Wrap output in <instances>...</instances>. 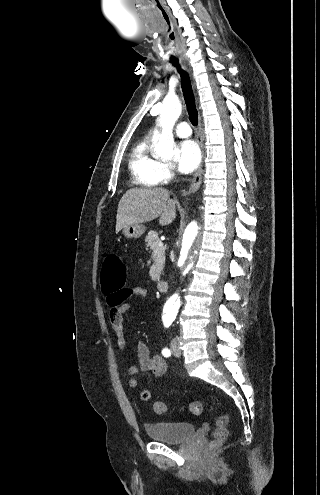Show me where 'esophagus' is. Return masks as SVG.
Listing matches in <instances>:
<instances>
[{
  "label": "esophagus",
  "instance_id": "obj_1",
  "mask_svg": "<svg viewBox=\"0 0 320 495\" xmlns=\"http://www.w3.org/2000/svg\"><path fill=\"white\" fill-rule=\"evenodd\" d=\"M197 137H198V142H199V145H200V148L202 150V154L204 153V147H203V140H204V136H203V132H202V120H201V117L199 116V119H198V134H197ZM203 161L200 165V167L198 168V170L196 171V173L194 174V177H193V180H192V183L189 187V192L190 193H194L196 192L200 185H201V182H202V174H203Z\"/></svg>",
  "mask_w": 320,
  "mask_h": 495
}]
</instances>
